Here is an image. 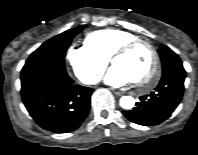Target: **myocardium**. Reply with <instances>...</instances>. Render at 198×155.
<instances>
[{
	"label": "myocardium",
	"instance_id": "obj_1",
	"mask_svg": "<svg viewBox=\"0 0 198 155\" xmlns=\"http://www.w3.org/2000/svg\"><path fill=\"white\" fill-rule=\"evenodd\" d=\"M140 44H144L149 48L153 57V64L147 76L143 80L135 81L134 83L137 87L141 88L142 90L148 91L157 83L159 71H160V56L155 45L152 42L145 40V39H140V38L129 40L123 43L121 46H119L112 53L110 60L111 62H113V60L116 57L125 55L126 53L130 52L133 48H135L136 46Z\"/></svg>",
	"mask_w": 198,
	"mask_h": 155
}]
</instances>
